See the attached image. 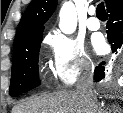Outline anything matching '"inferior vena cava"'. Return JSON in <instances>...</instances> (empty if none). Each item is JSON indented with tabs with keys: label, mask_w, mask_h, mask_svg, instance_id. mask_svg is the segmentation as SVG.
I'll use <instances>...</instances> for the list:
<instances>
[{
	"label": "inferior vena cava",
	"mask_w": 123,
	"mask_h": 113,
	"mask_svg": "<svg viewBox=\"0 0 123 113\" xmlns=\"http://www.w3.org/2000/svg\"><path fill=\"white\" fill-rule=\"evenodd\" d=\"M76 92L82 97L88 107V113H100L98 102L93 92V65H87L79 76Z\"/></svg>",
	"instance_id": "1"
}]
</instances>
